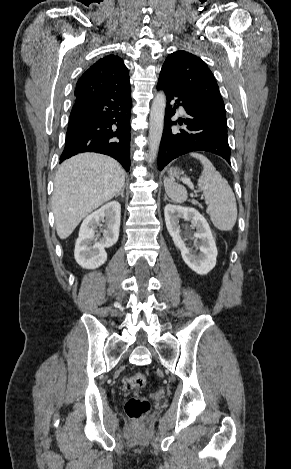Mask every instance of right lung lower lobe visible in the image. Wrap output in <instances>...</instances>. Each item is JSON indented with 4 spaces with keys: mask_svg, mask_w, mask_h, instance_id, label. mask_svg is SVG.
I'll return each mask as SVG.
<instances>
[{
    "mask_svg": "<svg viewBox=\"0 0 291 469\" xmlns=\"http://www.w3.org/2000/svg\"><path fill=\"white\" fill-rule=\"evenodd\" d=\"M131 97L106 91L75 101L60 162L83 152H97L130 168Z\"/></svg>",
    "mask_w": 291,
    "mask_h": 469,
    "instance_id": "obj_1",
    "label": "right lung lower lobe"
}]
</instances>
